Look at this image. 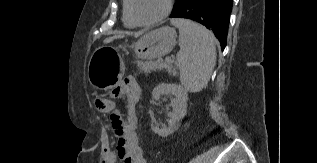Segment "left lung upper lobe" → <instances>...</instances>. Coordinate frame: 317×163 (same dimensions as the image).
<instances>
[{
	"instance_id": "left-lung-upper-lobe-1",
	"label": "left lung upper lobe",
	"mask_w": 317,
	"mask_h": 163,
	"mask_svg": "<svg viewBox=\"0 0 317 163\" xmlns=\"http://www.w3.org/2000/svg\"><path fill=\"white\" fill-rule=\"evenodd\" d=\"M177 1H178V0H176V3H175V5L177 4ZM175 5H174V6H175Z\"/></svg>"
}]
</instances>
